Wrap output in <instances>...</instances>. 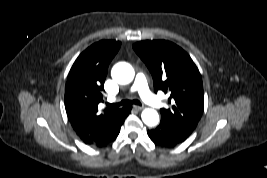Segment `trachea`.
Returning a JSON list of instances; mask_svg holds the SVG:
<instances>
[{"label":"trachea","instance_id":"1","mask_svg":"<svg viewBox=\"0 0 267 178\" xmlns=\"http://www.w3.org/2000/svg\"><path fill=\"white\" fill-rule=\"evenodd\" d=\"M129 103H132L135 105H141L139 100H123L119 103L108 104V106L113 107V108H118L119 106H125Z\"/></svg>","mask_w":267,"mask_h":178}]
</instances>
